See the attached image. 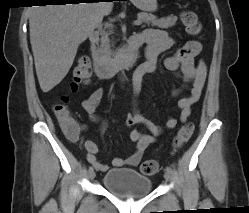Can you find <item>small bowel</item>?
<instances>
[{
	"label": "small bowel",
	"mask_w": 249,
	"mask_h": 213,
	"mask_svg": "<svg viewBox=\"0 0 249 213\" xmlns=\"http://www.w3.org/2000/svg\"><path fill=\"white\" fill-rule=\"evenodd\" d=\"M139 45L146 44V61L141 64L136 72L141 73L142 76L146 74H153L158 68L159 55L170 49L174 45V39L168 33L161 29L147 28L137 35ZM202 49L201 44L195 40L187 41L174 54L168 56L164 60V66L167 70L172 72H180L187 81L189 95L179 100L180 121L186 122L191 114L192 106L199 100L202 89L205 84L207 76V67L203 60L196 62V57L200 54ZM134 75V77H135ZM139 80H136L138 82ZM104 95L103 88H97L82 102L84 111L89 114L96 121H100L94 115L97 105L100 103ZM60 125L68 135L71 141H76L79 134L83 130V126L70 117V120H60ZM177 119L170 117L165 123L166 129H173L177 125ZM101 128L104 130L106 123L100 121ZM125 125L131 127L134 125H141L145 127L150 133L144 134L141 131L134 129L130 132V140L135 144V151L126 159L116 157L112 160V165L115 168L123 166H136L142 159L147 147L154 143L157 137L163 132L164 128L155 125L151 121L145 119L137 110L128 115L125 119ZM86 150V158L97 170L105 172L108 166L100 163L97 160L96 154L98 152L97 144L92 140H87L84 143Z\"/></svg>",
	"instance_id": "1"
}]
</instances>
